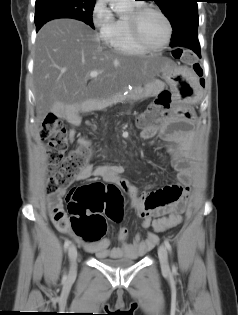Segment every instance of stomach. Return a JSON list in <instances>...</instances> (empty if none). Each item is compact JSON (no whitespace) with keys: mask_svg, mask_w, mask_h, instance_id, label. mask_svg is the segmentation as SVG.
Wrapping results in <instances>:
<instances>
[{"mask_svg":"<svg viewBox=\"0 0 238 315\" xmlns=\"http://www.w3.org/2000/svg\"><path fill=\"white\" fill-rule=\"evenodd\" d=\"M165 66L160 70L158 76L166 80L172 91H175L176 102H173L175 116L180 122H195L198 116V109H193V105L201 100V87H195L194 73L178 72L174 63L167 58L161 57ZM188 104V105H187Z\"/></svg>","mask_w":238,"mask_h":315,"instance_id":"1","label":"stomach"}]
</instances>
